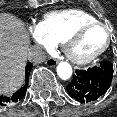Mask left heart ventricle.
Segmentation results:
<instances>
[{"label":"left heart ventricle","mask_w":117,"mask_h":117,"mask_svg":"<svg viewBox=\"0 0 117 117\" xmlns=\"http://www.w3.org/2000/svg\"><path fill=\"white\" fill-rule=\"evenodd\" d=\"M107 40V31L103 27H92L85 31L74 43L73 51L79 56H85L99 50Z\"/></svg>","instance_id":"left-heart-ventricle-1"}]
</instances>
